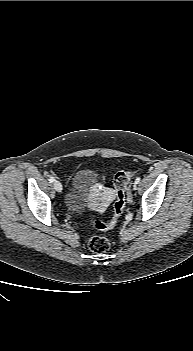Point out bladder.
Returning <instances> with one entry per match:
<instances>
[{"label": "bladder", "instance_id": "31cf9c89", "mask_svg": "<svg viewBox=\"0 0 193 351\" xmlns=\"http://www.w3.org/2000/svg\"><path fill=\"white\" fill-rule=\"evenodd\" d=\"M98 182V175L93 169H79L74 172L70 188L66 194V210L72 214H79L86 210L85 200L92 197V187Z\"/></svg>", "mask_w": 193, "mask_h": 351}]
</instances>
